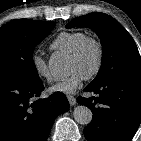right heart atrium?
<instances>
[{"mask_svg":"<svg viewBox=\"0 0 141 141\" xmlns=\"http://www.w3.org/2000/svg\"><path fill=\"white\" fill-rule=\"evenodd\" d=\"M31 61H32V66L34 68V71L36 72V74L39 77H41L47 81L52 80V75H51L48 63L42 55L35 53L32 56Z\"/></svg>","mask_w":141,"mask_h":141,"instance_id":"d8ad5b80","label":"right heart atrium"}]
</instances>
